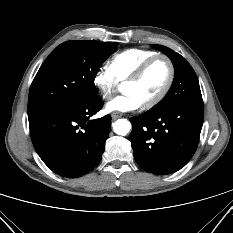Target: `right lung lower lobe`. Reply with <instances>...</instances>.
<instances>
[{
  "instance_id": "1",
  "label": "right lung lower lobe",
  "mask_w": 233,
  "mask_h": 233,
  "mask_svg": "<svg viewBox=\"0 0 233 233\" xmlns=\"http://www.w3.org/2000/svg\"><path fill=\"white\" fill-rule=\"evenodd\" d=\"M103 106L97 94L74 105L28 110L33 146L56 174L76 178L101 160L108 139L111 116L90 120Z\"/></svg>"
}]
</instances>
